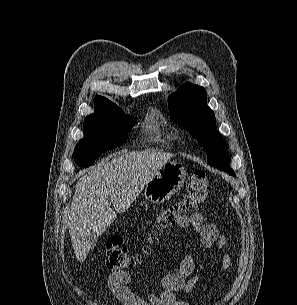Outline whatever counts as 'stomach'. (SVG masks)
Instances as JSON below:
<instances>
[{
	"instance_id": "stomach-1",
	"label": "stomach",
	"mask_w": 297,
	"mask_h": 305,
	"mask_svg": "<svg viewBox=\"0 0 297 305\" xmlns=\"http://www.w3.org/2000/svg\"><path fill=\"white\" fill-rule=\"evenodd\" d=\"M186 175V168L181 162L168 161L145 185V198L153 204L169 200L183 186Z\"/></svg>"
}]
</instances>
